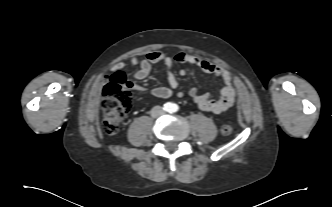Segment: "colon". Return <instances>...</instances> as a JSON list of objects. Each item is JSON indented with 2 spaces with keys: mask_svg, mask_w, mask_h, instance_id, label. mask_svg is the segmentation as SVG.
<instances>
[{
  "mask_svg": "<svg viewBox=\"0 0 332 207\" xmlns=\"http://www.w3.org/2000/svg\"><path fill=\"white\" fill-rule=\"evenodd\" d=\"M132 82L123 70H118L110 76L104 86L102 101L103 130L113 136L119 131L120 125L132 107ZM222 132L229 135L233 132L231 124H224Z\"/></svg>",
  "mask_w": 332,
  "mask_h": 207,
  "instance_id": "colon-1",
  "label": "colon"
}]
</instances>
